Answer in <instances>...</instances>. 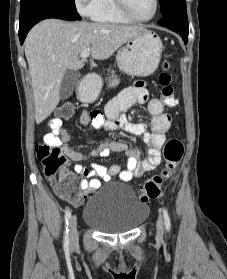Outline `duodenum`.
Returning <instances> with one entry per match:
<instances>
[{
	"label": "duodenum",
	"mask_w": 227,
	"mask_h": 279,
	"mask_svg": "<svg viewBox=\"0 0 227 279\" xmlns=\"http://www.w3.org/2000/svg\"><path fill=\"white\" fill-rule=\"evenodd\" d=\"M77 100L83 104H90L92 101L86 99V92L84 90H79L76 94Z\"/></svg>",
	"instance_id": "obj_1"
}]
</instances>
